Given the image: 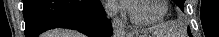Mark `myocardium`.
<instances>
[{
    "mask_svg": "<svg viewBox=\"0 0 219 37\" xmlns=\"http://www.w3.org/2000/svg\"><path fill=\"white\" fill-rule=\"evenodd\" d=\"M135 1H141V0H134L132 2H135ZM132 6V4H131ZM131 6H129L127 8V13H128V16L130 18V21L132 22V24L136 25V26H153V25H156L158 23H160L167 15L168 13V1L166 0H161V12L160 14L155 17V18H152V19H140V18H137L136 16L133 15L132 11H131Z\"/></svg>",
    "mask_w": 219,
    "mask_h": 37,
    "instance_id": "myocardium-1",
    "label": "myocardium"
}]
</instances>
